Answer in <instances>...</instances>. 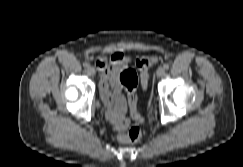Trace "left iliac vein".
I'll use <instances>...</instances> for the list:
<instances>
[{
    "mask_svg": "<svg viewBox=\"0 0 243 167\" xmlns=\"http://www.w3.org/2000/svg\"><path fill=\"white\" fill-rule=\"evenodd\" d=\"M164 74H165V69H164V67H159V68L157 69V71H156V75H157L158 77H162V76H164Z\"/></svg>",
    "mask_w": 243,
    "mask_h": 167,
    "instance_id": "4c4485c4",
    "label": "left iliac vein"
}]
</instances>
